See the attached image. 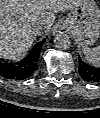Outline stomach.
I'll return each instance as SVG.
<instances>
[{"label": "stomach", "mask_w": 100, "mask_h": 118, "mask_svg": "<svg viewBox=\"0 0 100 118\" xmlns=\"http://www.w3.org/2000/svg\"><path fill=\"white\" fill-rule=\"evenodd\" d=\"M66 21L82 45H92L100 37V9L94 0H79L71 8Z\"/></svg>", "instance_id": "0dacf381"}]
</instances>
